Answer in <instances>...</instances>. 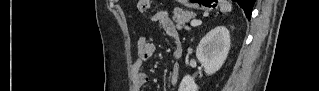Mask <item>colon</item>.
I'll list each match as a JSON object with an SVG mask.
<instances>
[{"mask_svg":"<svg viewBox=\"0 0 319 91\" xmlns=\"http://www.w3.org/2000/svg\"><path fill=\"white\" fill-rule=\"evenodd\" d=\"M151 2L148 0H139L138 9L141 13H145L150 9Z\"/></svg>","mask_w":319,"mask_h":91,"instance_id":"1","label":"colon"}]
</instances>
